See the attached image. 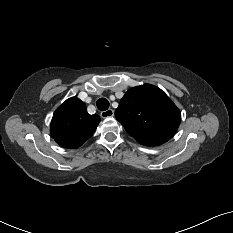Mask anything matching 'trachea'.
Instances as JSON below:
<instances>
[{
    "label": "trachea",
    "mask_w": 233,
    "mask_h": 233,
    "mask_svg": "<svg viewBox=\"0 0 233 233\" xmlns=\"http://www.w3.org/2000/svg\"><path fill=\"white\" fill-rule=\"evenodd\" d=\"M96 105L100 111H106L109 108V101L106 98H100L97 100Z\"/></svg>",
    "instance_id": "3493384b"
}]
</instances>
